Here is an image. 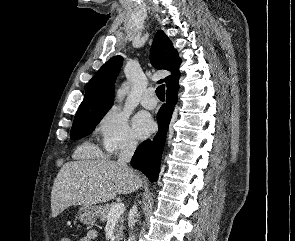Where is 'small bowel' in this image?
I'll return each mask as SVG.
<instances>
[{"label":"small bowel","mask_w":295,"mask_h":241,"mask_svg":"<svg viewBox=\"0 0 295 241\" xmlns=\"http://www.w3.org/2000/svg\"><path fill=\"white\" fill-rule=\"evenodd\" d=\"M97 238V231L95 230H88L86 231L85 235L81 239V241H94ZM61 241H71L68 238H63Z\"/></svg>","instance_id":"obj_1"}]
</instances>
